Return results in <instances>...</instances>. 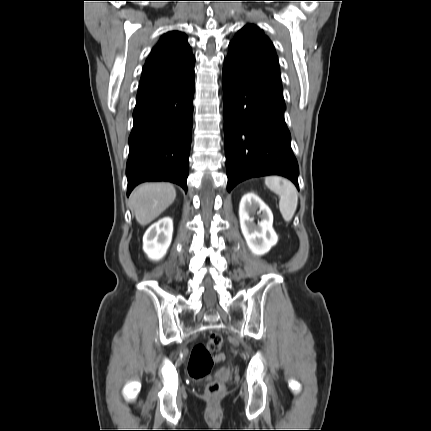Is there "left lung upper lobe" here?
<instances>
[{"label":"left lung upper lobe","instance_id":"left-lung-upper-lobe-1","mask_svg":"<svg viewBox=\"0 0 431 431\" xmlns=\"http://www.w3.org/2000/svg\"><path fill=\"white\" fill-rule=\"evenodd\" d=\"M223 70L283 95L274 46L255 25L243 27L230 42Z\"/></svg>","mask_w":431,"mask_h":431}]
</instances>
